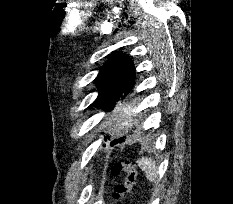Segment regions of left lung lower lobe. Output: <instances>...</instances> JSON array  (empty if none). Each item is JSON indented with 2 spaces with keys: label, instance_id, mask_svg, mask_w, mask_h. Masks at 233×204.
Instances as JSON below:
<instances>
[{
  "label": "left lung lower lobe",
  "instance_id": "obj_1",
  "mask_svg": "<svg viewBox=\"0 0 233 204\" xmlns=\"http://www.w3.org/2000/svg\"><path fill=\"white\" fill-rule=\"evenodd\" d=\"M130 90H131V89H129V90L125 93V95H127V93H129ZM122 141H124V138H123V137L120 138V139H115V140H113V141L111 142V146H113L114 144L120 143V142H122Z\"/></svg>",
  "mask_w": 233,
  "mask_h": 204
}]
</instances>
